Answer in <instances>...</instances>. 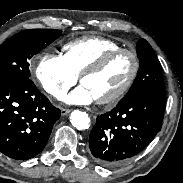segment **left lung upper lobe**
Here are the masks:
<instances>
[{"label": "left lung upper lobe", "instance_id": "5c2ea615", "mask_svg": "<svg viewBox=\"0 0 183 183\" xmlns=\"http://www.w3.org/2000/svg\"><path fill=\"white\" fill-rule=\"evenodd\" d=\"M137 56L140 68L133 85L123 99L144 92L165 93L160 62L145 39L137 43Z\"/></svg>", "mask_w": 183, "mask_h": 183}]
</instances>
